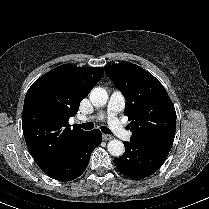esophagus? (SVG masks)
<instances>
[{
  "label": "esophagus",
  "mask_w": 209,
  "mask_h": 209,
  "mask_svg": "<svg viewBox=\"0 0 209 209\" xmlns=\"http://www.w3.org/2000/svg\"><path fill=\"white\" fill-rule=\"evenodd\" d=\"M103 139L106 140V141H109V140L113 139V136L109 135V134H103Z\"/></svg>",
  "instance_id": "1"
}]
</instances>
